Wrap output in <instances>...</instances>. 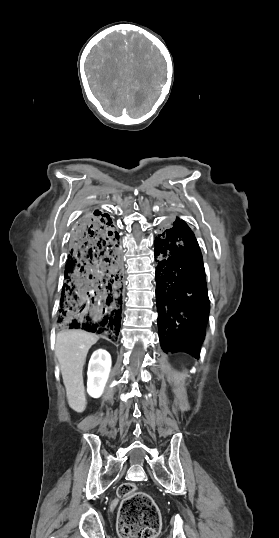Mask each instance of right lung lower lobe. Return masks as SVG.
I'll return each instance as SVG.
<instances>
[{"label": "right lung lower lobe", "mask_w": 279, "mask_h": 538, "mask_svg": "<svg viewBox=\"0 0 279 538\" xmlns=\"http://www.w3.org/2000/svg\"><path fill=\"white\" fill-rule=\"evenodd\" d=\"M121 305L119 234L107 213L89 209L75 224L69 241L59 328L118 333Z\"/></svg>", "instance_id": "1"}]
</instances>
